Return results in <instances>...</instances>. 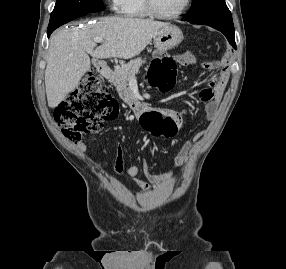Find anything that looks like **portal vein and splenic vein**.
<instances>
[{
  "instance_id": "1",
  "label": "portal vein and splenic vein",
  "mask_w": 286,
  "mask_h": 269,
  "mask_svg": "<svg viewBox=\"0 0 286 269\" xmlns=\"http://www.w3.org/2000/svg\"><path fill=\"white\" fill-rule=\"evenodd\" d=\"M94 41H95L96 43H101V42L103 41V39H101V38H95ZM133 80H135V78H134Z\"/></svg>"
}]
</instances>
